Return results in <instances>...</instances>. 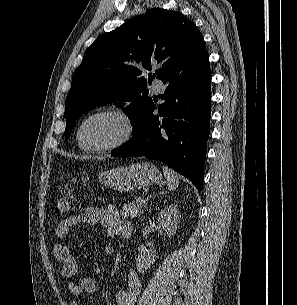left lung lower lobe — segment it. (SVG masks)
<instances>
[{"instance_id": "obj_1", "label": "left lung lower lobe", "mask_w": 297, "mask_h": 305, "mask_svg": "<svg viewBox=\"0 0 297 305\" xmlns=\"http://www.w3.org/2000/svg\"><path fill=\"white\" fill-rule=\"evenodd\" d=\"M165 102L153 115V100L139 116L133 137L111 154L119 157L146 156L160 160L203 186L206 143L211 116V70L174 72L162 80Z\"/></svg>"}]
</instances>
